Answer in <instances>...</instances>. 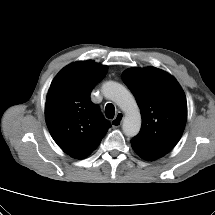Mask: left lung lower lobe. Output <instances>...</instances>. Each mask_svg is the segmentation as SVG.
<instances>
[{"label":"left lung lower lobe","mask_w":215,"mask_h":215,"mask_svg":"<svg viewBox=\"0 0 215 215\" xmlns=\"http://www.w3.org/2000/svg\"><path fill=\"white\" fill-rule=\"evenodd\" d=\"M141 158L145 159V160H149V161H152V160H155L153 158H149V157H146V156H143L141 154H139L138 152H136Z\"/></svg>","instance_id":"obj_1"}]
</instances>
